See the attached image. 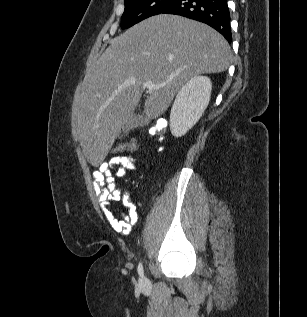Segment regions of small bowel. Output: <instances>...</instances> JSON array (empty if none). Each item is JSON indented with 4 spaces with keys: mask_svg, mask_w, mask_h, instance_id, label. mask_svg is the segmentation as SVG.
I'll return each mask as SVG.
<instances>
[{
    "mask_svg": "<svg viewBox=\"0 0 307 317\" xmlns=\"http://www.w3.org/2000/svg\"><path fill=\"white\" fill-rule=\"evenodd\" d=\"M136 168L137 160L132 154L117 155L101 163L92 174L101 209L111 227L123 235H128L137 223V205L126 191L121 190L115 177H125L128 171H134ZM114 201H121L127 212L116 216L110 208Z\"/></svg>",
    "mask_w": 307,
    "mask_h": 317,
    "instance_id": "c3829d8e",
    "label": "small bowel"
}]
</instances>
